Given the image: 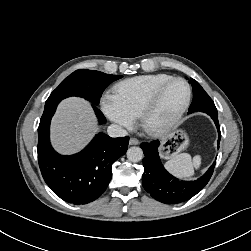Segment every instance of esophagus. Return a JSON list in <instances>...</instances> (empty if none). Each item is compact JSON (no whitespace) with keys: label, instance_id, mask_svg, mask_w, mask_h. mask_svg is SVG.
<instances>
[{"label":"esophagus","instance_id":"1","mask_svg":"<svg viewBox=\"0 0 251 251\" xmlns=\"http://www.w3.org/2000/svg\"><path fill=\"white\" fill-rule=\"evenodd\" d=\"M139 144V140L136 138H130L129 140V145H138Z\"/></svg>","mask_w":251,"mask_h":251}]
</instances>
